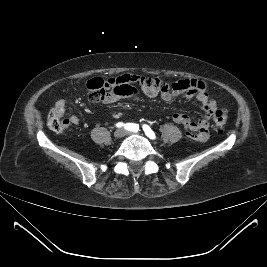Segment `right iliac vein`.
<instances>
[{
    "instance_id": "1",
    "label": "right iliac vein",
    "mask_w": 267,
    "mask_h": 267,
    "mask_svg": "<svg viewBox=\"0 0 267 267\" xmlns=\"http://www.w3.org/2000/svg\"><path fill=\"white\" fill-rule=\"evenodd\" d=\"M126 131L123 128H119L114 132V137L119 139L122 138L125 135Z\"/></svg>"
}]
</instances>
